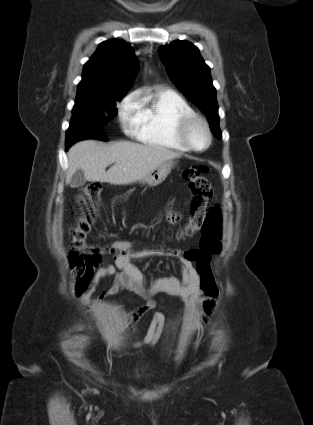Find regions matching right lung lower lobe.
<instances>
[{"mask_svg": "<svg viewBox=\"0 0 313 425\" xmlns=\"http://www.w3.org/2000/svg\"><path fill=\"white\" fill-rule=\"evenodd\" d=\"M84 139H99L107 141L105 134L101 131L100 124L88 120L80 119L74 126H70L66 133V150L75 142Z\"/></svg>", "mask_w": 313, "mask_h": 425, "instance_id": "98d812e1", "label": "right lung lower lobe"}]
</instances>
